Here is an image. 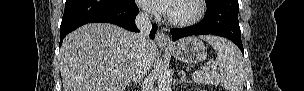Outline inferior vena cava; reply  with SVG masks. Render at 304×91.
Wrapping results in <instances>:
<instances>
[{
    "label": "inferior vena cava",
    "instance_id": "inferior-vena-cava-1",
    "mask_svg": "<svg viewBox=\"0 0 304 91\" xmlns=\"http://www.w3.org/2000/svg\"><path fill=\"white\" fill-rule=\"evenodd\" d=\"M136 26L140 33H135L134 38L137 42V62L135 68V74L137 77H143L150 69V61L148 59V48L150 40L148 34L152 29L149 14L145 11L140 12L136 16Z\"/></svg>",
    "mask_w": 304,
    "mask_h": 91
}]
</instances>
